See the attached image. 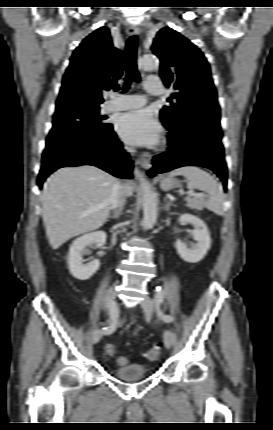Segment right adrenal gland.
Wrapping results in <instances>:
<instances>
[{
	"label": "right adrenal gland",
	"mask_w": 273,
	"mask_h": 430,
	"mask_svg": "<svg viewBox=\"0 0 273 430\" xmlns=\"http://www.w3.org/2000/svg\"><path fill=\"white\" fill-rule=\"evenodd\" d=\"M120 210H114L113 215L112 216H108V218H113V219H117L120 216Z\"/></svg>",
	"instance_id": "right-adrenal-gland-1"
}]
</instances>
